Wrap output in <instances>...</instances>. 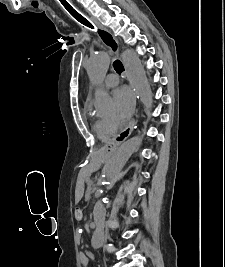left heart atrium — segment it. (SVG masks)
<instances>
[{
  "mask_svg": "<svg viewBox=\"0 0 225 267\" xmlns=\"http://www.w3.org/2000/svg\"><path fill=\"white\" fill-rule=\"evenodd\" d=\"M116 104V119L123 122L131 115L134 106V97L127 87H120L114 92Z\"/></svg>",
  "mask_w": 225,
  "mask_h": 267,
  "instance_id": "39dd6f15",
  "label": "left heart atrium"
}]
</instances>
